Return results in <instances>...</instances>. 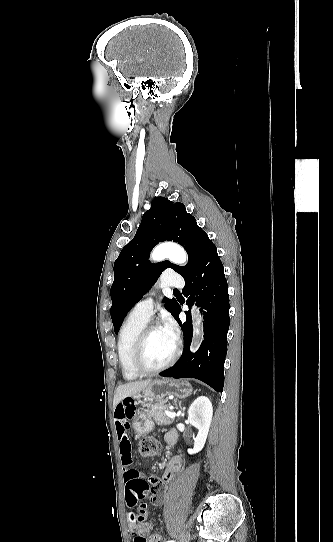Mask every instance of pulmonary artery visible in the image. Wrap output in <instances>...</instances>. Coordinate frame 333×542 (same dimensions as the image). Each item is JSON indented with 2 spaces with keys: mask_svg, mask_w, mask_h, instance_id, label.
Returning a JSON list of instances; mask_svg holds the SVG:
<instances>
[{
  "mask_svg": "<svg viewBox=\"0 0 333 542\" xmlns=\"http://www.w3.org/2000/svg\"><path fill=\"white\" fill-rule=\"evenodd\" d=\"M165 275L163 276V281L167 282V286L174 289H180L183 286V277L179 273H175L173 267L168 266L164 270ZM147 292L151 293L145 298L138 301L134 307L131 309L129 316L135 319H142L148 321L152 314L154 313L155 308V296L153 286L147 287Z\"/></svg>",
  "mask_w": 333,
  "mask_h": 542,
  "instance_id": "e3ab8cb5",
  "label": "pulmonary artery"
}]
</instances>
